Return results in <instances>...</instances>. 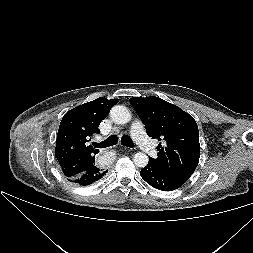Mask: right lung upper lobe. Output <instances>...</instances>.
I'll list each match as a JSON object with an SVG mask.
<instances>
[{"instance_id":"obj_1","label":"right lung upper lobe","mask_w":253,"mask_h":253,"mask_svg":"<svg viewBox=\"0 0 253 253\" xmlns=\"http://www.w3.org/2000/svg\"><path fill=\"white\" fill-rule=\"evenodd\" d=\"M117 103V99L100 97L75 107L63 116L55 156L67 178H75L95 165V155L99 151L89 141L94 134H99V124Z\"/></svg>"}]
</instances>
